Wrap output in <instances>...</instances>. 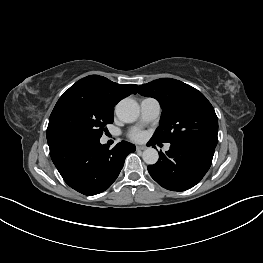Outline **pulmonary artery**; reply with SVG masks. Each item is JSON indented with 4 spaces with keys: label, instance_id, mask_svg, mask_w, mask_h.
I'll return each instance as SVG.
<instances>
[{
    "label": "pulmonary artery",
    "instance_id": "1",
    "mask_svg": "<svg viewBox=\"0 0 263 263\" xmlns=\"http://www.w3.org/2000/svg\"><path fill=\"white\" fill-rule=\"evenodd\" d=\"M161 107L159 102L154 98H144L140 102V123L146 124L154 121L160 116ZM170 146L166 145L165 149L169 150Z\"/></svg>",
    "mask_w": 263,
    "mask_h": 263
}]
</instances>
